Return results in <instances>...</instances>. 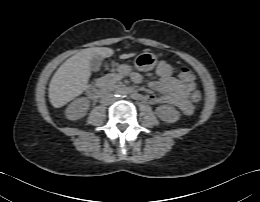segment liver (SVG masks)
Instances as JSON below:
<instances>
[{
    "label": "liver",
    "instance_id": "1",
    "mask_svg": "<svg viewBox=\"0 0 260 202\" xmlns=\"http://www.w3.org/2000/svg\"><path fill=\"white\" fill-rule=\"evenodd\" d=\"M114 50L107 47H92L83 49L67 59L53 75L49 85V101L55 108H60L82 94L91 76L90 60L95 55L110 57ZM134 53L120 56L126 59Z\"/></svg>",
    "mask_w": 260,
    "mask_h": 202
}]
</instances>
